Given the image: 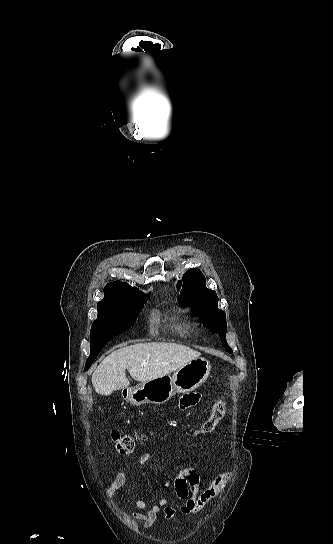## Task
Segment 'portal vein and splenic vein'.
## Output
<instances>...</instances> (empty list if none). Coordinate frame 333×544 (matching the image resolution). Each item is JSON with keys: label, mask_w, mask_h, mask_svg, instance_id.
Returning <instances> with one entry per match:
<instances>
[{"label": "portal vein and splenic vein", "mask_w": 333, "mask_h": 544, "mask_svg": "<svg viewBox=\"0 0 333 544\" xmlns=\"http://www.w3.org/2000/svg\"><path fill=\"white\" fill-rule=\"evenodd\" d=\"M143 366H146V364H145V363H142V364H141V367H143Z\"/></svg>", "instance_id": "1"}]
</instances>
